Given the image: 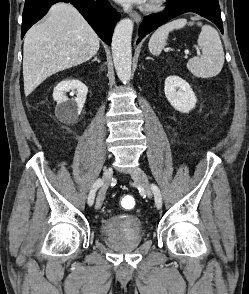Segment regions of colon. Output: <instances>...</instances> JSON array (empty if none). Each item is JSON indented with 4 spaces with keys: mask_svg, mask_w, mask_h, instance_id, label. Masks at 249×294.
<instances>
[{
    "mask_svg": "<svg viewBox=\"0 0 249 294\" xmlns=\"http://www.w3.org/2000/svg\"><path fill=\"white\" fill-rule=\"evenodd\" d=\"M121 205L122 207H124L125 209H131L134 208L136 205V201L133 197L131 196H123L121 198Z\"/></svg>",
    "mask_w": 249,
    "mask_h": 294,
    "instance_id": "1",
    "label": "colon"
}]
</instances>
